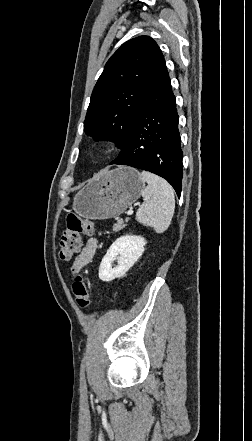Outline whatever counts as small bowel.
<instances>
[{
	"label": "small bowel",
	"mask_w": 252,
	"mask_h": 441,
	"mask_svg": "<svg viewBox=\"0 0 252 441\" xmlns=\"http://www.w3.org/2000/svg\"><path fill=\"white\" fill-rule=\"evenodd\" d=\"M98 248V241L96 238H90L86 241L79 254L75 257L72 267L71 273L73 275L78 274L86 265H88Z\"/></svg>",
	"instance_id": "c3829d8e"
}]
</instances>
